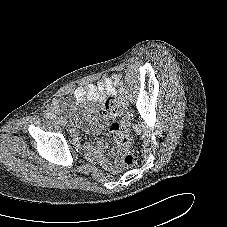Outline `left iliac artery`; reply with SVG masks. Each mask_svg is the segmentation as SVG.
<instances>
[{"mask_svg":"<svg viewBox=\"0 0 227 227\" xmlns=\"http://www.w3.org/2000/svg\"><path fill=\"white\" fill-rule=\"evenodd\" d=\"M118 92H119L120 95H123L124 94V89L123 88H119Z\"/></svg>","mask_w":227,"mask_h":227,"instance_id":"44dca946","label":"left iliac artery"}]
</instances>
